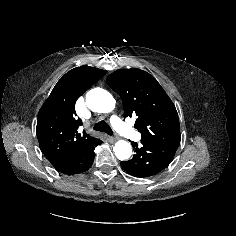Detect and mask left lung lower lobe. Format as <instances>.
<instances>
[{"label":"left lung lower lobe","instance_id":"1","mask_svg":"<svg viewBox=\"0 0 236 236\" xmlns=\"http://www.w3.org/2000/svg\"><path fill=\"white\" fill-rule=\"evenodd\" d=\"M131 144L135 154L131 160L121 161V166L132 176L146 178L158 174L172 162L180 141H141V146Z\"/></svg>","mask_w":236,"mask_h":236}]
</instances>
